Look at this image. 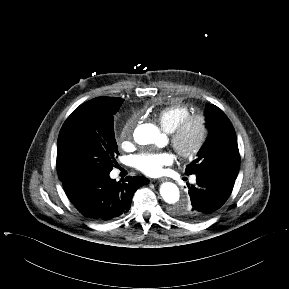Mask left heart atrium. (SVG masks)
<instances>
[{
  "instance_id": "obj_1",
  "label": "left heart atrium",
  "mask_w": 289,
  "mask_h": 289,
  "mask_svg": "<svg viewBox=\"0 0 289 289\" xmlns=\"http://www.w3.org/2000/svg\"><path fill=\"white\" fill-rule=\"evenodd\" d=\"M175 156L170 151H147L135 155L133 166L148 176H157L162 173L165 166L171 165Z\"/></svg>"
}]
</instances>
